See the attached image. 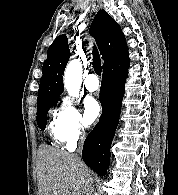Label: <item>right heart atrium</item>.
I'll list each match as a JSON object with an SVG mask.
<instances>
[{"mask_svg": "<svg viewBox=\"0 0 178 195\" xmlns=\"http://www.w3.org/2000/svg\"><path fill=\"white\" fill-rule=\"evenodd\" d=\"M58 119L61 134L66 143L72 145L84 139V119L77 106L69 98L62 100Z\"/></svg>", "mask_w": 178, "mask_h": 195, "instance_id": "1", "label": "right heart atrium"}]
</instances>
